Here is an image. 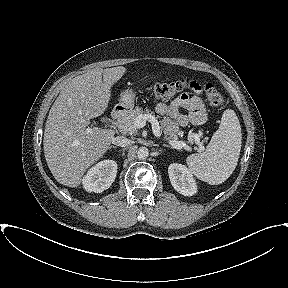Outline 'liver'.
<instances>
[{
  "label": "liver",
  "instance_id": "liver-1",
  "mask_svg": "<svg viewBox=\"0 0 288 288\" xmlns=\"http://www.w3.org/2000/svg\"><path fill=\"white\" fill-rule=\"evenodd\" d=\"M125 72V67L118 66L76 76L52 105L43 148L47 165L59 183L78 187L86 170L109 149L115 131L91 128L90 119L105 112L111 87Z\"/></svg>",
  "mask_w": 288,
  "mask_h": 288
}]
</instances>
